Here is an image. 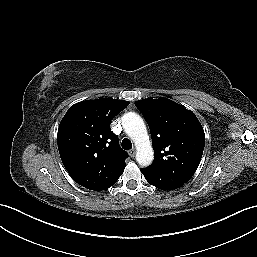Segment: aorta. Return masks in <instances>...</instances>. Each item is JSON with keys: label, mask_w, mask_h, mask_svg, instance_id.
<instances>
[{"label": "aorta", "mask_w": 257, "mask_h": 257, "mask_svg": "<svg viewBox=\"0 0 257 257\" xmlns=\"http://www.w3.org/2000/svg\"><path fill=\"white\" fill-rule=\"evenodd\" d=\"M122 126L135 143L137 162L141 166H149L153 161L154 152L143 119L134 112H128L122 117Z\"/></svg>", "instance_id": "762f6f07"}]
</instances>
